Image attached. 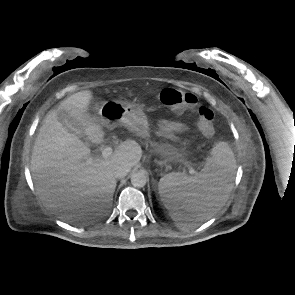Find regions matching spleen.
<instances>
[{
	"label": "spleen",
	"mask_w": 295,
	"mask_h": 295,
	"mask_svg": "<svg viewBox=\"0 0 295 295\" xmlns=\"http://www.w3.org/2000/svg\"><path fill=\"white\" fill-rule=\"evenodd\" d=\"M235 169L234 153L226 142H220L197 175L172 172L163 176L159 194L177 225L191 228L190 221L210 216L219 208L231 192Z\"/></svg>",
	"instance_id": "obj_1"
}]
</instances>
